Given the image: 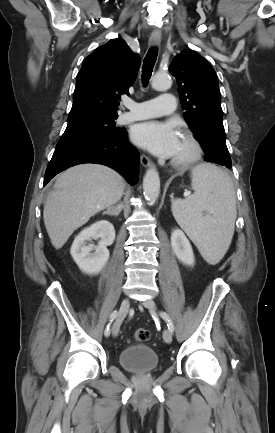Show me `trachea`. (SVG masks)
<instances>
[{"instance_id": "trachea-1", "label": "trachea", "mask_w": 275, "mask_h": 433, "mask_svg": "<svg viewBox=\"0 0 275 433\" xmlns=\"http://www.w3.org/2000/svg\"><path fill=\"white\" fill-rule=\"evenodd\" d=\"M157 54L158 50L156 48H151L144 58L142 66V82L144 85H147L148 80L151 77Z\"/></svg>"}]
</instances>
